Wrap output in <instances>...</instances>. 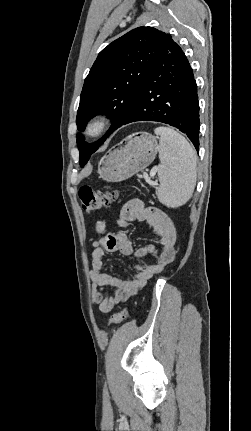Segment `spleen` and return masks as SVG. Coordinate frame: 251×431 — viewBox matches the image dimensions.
Returning <instances> with one entry per match:
<instances>
[{
	"label": "spleen",
	"mask_w": 251,
	"mask_h": 431,
	"mask_svg": "<svg viewBox=\"0 0 251 431\" xmlns=\"http://www.w3.org/2000/svg\"><path fill=\"white\" fill-rule=\"evenodd\" d=\"M159 135L158 200L167 207L177 208L192 196L197 178V156L189 142L170 127H157Z\"/></svg>",
	"instance_id": "spleen-1"
}]
</instances>
